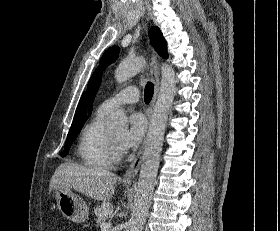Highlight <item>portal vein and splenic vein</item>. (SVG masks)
Listing matches in <instances>:
<instances>
[{"label":"portal vein and splenic vein","instance_id":"1","mask_svg":"<svg viewBox=\"0 0 280 231\" xmlns=\"http://www.w3.org/2000/svg\"><path fill=\"white\" fill-rule=\"evenodd\" d=\"M102 231H108V229H110V227H112V223L111 221H108V223H101L100 225Z\"/></svg>","mask_w":280,"mask_h":231}]
</instances>
